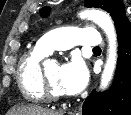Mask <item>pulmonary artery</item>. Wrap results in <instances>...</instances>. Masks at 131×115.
<instances>
[{"label": "pulmonary artery", "mask_w": 131, "mask_h": 115, "mask_svg": "<svg viewBox=\"0 0 131 115\" xmlns=\"http://www.w3.org/2000/svg\"><path fill=\"white\" fill-rule=\"evenodd\" d=\"M102 44L97 29L83 27H66L55 29L43 35L37 42V46L51 53L56 49H68L74 45L98 47Z\"/></svg>", "instance_id": "obj_1"}]
</instances>
